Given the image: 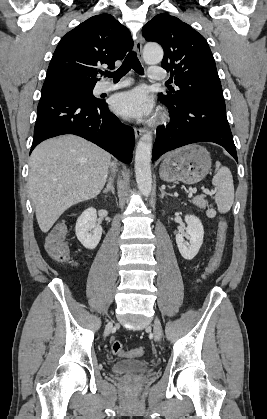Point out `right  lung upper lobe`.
<instances>
[{
  "label": "right lung upper lobe",
  "instance_id": "1",
  "mask_svg": "<svg viewBox=\"0 0 267 419\" xmlns=\"http://www.w3.org/2000/svg\"><path fill=\"white\" fill-rule=\"evenodd\" d=\"M133 47L129 30L110 14L89 18L68 32L59 42L42 87L60 89L66 85L95 86L96 66L114 68Z\"/></svg>",
  "mask_w": 267,
  "mask_h": 419
}]
</instances>
